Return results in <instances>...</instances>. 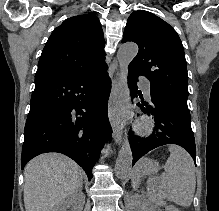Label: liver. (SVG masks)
Returning <instances> with one entry per match:
<instances>
[{
	"mask_svg": "<svg viewBox=\"0 0 219 211\" xmlns=\"http://www.w3.org/2000/svg\"><path fill=\"white\" fill-rule=\"evenodd\" d=\"M26 211H51L83 183V169L62 153H41L24 167Z\"/></svg>",
	"mask_w": 219,
	"mask_h": 211,
	"instance_id": "1",
	"label": "liver"
}]
</instances>
